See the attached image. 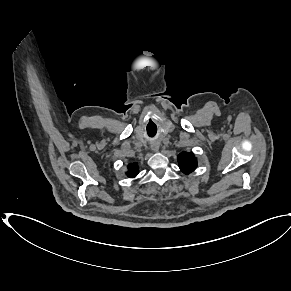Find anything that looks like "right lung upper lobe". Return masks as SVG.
Instances as JSON below:
<instances>
[{
  "instance_id": "obj_1",
  "label": "right lung upper lobe",
  "mask_w": 291,
  "mask_h": 291,
  "mask_svg": "<svg viewBox=\"0 0 291 291\" xmlns=\"http://www.w3.org/2000/svg\"><path fill=\"white\" fill-rule=\"evenodd\" d=\"M128 170L129 171H128L127 175L130 177H135L139 172L138 166L136 164H130L128 166Z\"/></svg>"
}]
</instances>
